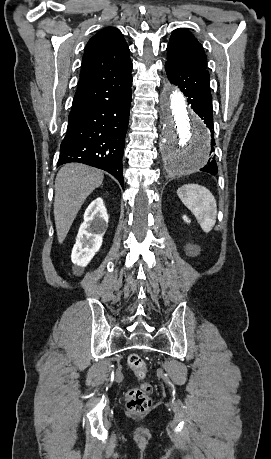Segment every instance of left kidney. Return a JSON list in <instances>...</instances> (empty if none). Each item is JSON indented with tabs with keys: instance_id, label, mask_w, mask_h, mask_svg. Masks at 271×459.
I'll use <instances>...</instances> for the list:
<instances>
[{
	"instance_id": "left-kidney-1",
	"label": "left kidney",
	"mask_w": 271,
	"mask_h": 459,
	"mask_svg": "<svg viewBox=\"0 0 271 459\" xmlns=\"http://www.w3.org/2000/svg\"><path fill=\"white\" fill-rule=\"evenodd\" d=\"M183 220H184V222H188V224L190 222V220H188L187 216H183Z\"/></svg>"
}]
</instances>
